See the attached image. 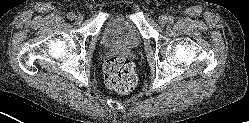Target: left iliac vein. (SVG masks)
Segmentation results:
<instances>
[{
	"label": "left iliac vein",
	"mask_w": 249,
	"mask_h": 123,
	"mask_svg": "<svg viewBox=\"0 0 249 123\" xmlns=\"http://www.w3.org/2000/svg\"><path fill=\"white\" fill-rule=\"evenodd\" d=\"M167 21H168L167 16H165V15H161L160 16V18H159V24L161 26H165V24L167 23Z\"/></svg>",
	"instance_id": "left-iliac-vein-1"
}]
</instances>
